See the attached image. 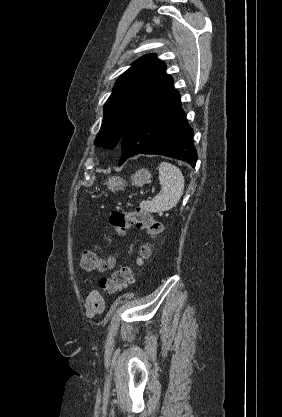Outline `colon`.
<instances>
[{
    "instance_id": "1",
    "label": "colon",
    "mask_w": 282,
    "mask_h": 417,
    "mask_svg": "<svg viewBox=\"0 0 282 417\" xmlns=\"http://www.w3.org/2000/svg\"><path fill=\"white\" fill-rule=\"evenodd\" d=\"M112 227L124 232L136 226L146 232L149 238L156 239L162 233V225L148 212L140 208L133 210L117 209L110 215ZM151 246L148 242L138 245L136 257L131 265L121 266L110 278L100 280V288L103 296H113L133 282V274L136 268L144 265L150 256ZM80 265L87 271H99L110 265V261L100 259L95 253L84 250L79 257ZM103 301H100V306Z\"/></svg>"
}]
</instances>
